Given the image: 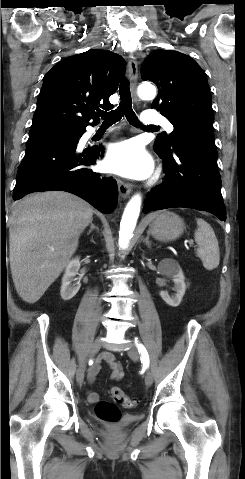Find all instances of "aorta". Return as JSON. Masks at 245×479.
<instances>
[{
    "instance_id": "obj_1",
    "label": "aorta",
    "mask_w": 245,
    "mask_h": 479,
    "mask_svg": "<svg viewBox=\"0 0 245 479\" xmlns=\"http://www.w3.org/2000/svg\"><path fill=\"white\" fill-rule=\"evenodd\" d=\"M138 95L145 100H152L156 96V88L152 85H140L138 87ZM141 207V196L139 194L134 195L128 202L122 220L120 222L119 231V247L126 248L130 239L133 236L137 219L139 217Z\"/></svg>"
}]
</instances>
